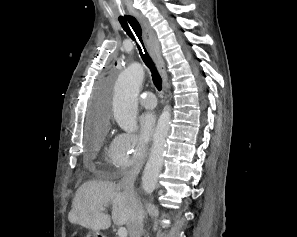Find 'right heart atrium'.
I'll list each match as a JSON object with an SVG mask.
<instances>
[{"label":"right heart atrium","mask_w":297,"mask_h":237,"mask_svg":"<svg viewBox=\"0 0 297 237\" xmlns=\"http://www.w3.org/2000/svg\"><path fill=\"white\" fill-rule=\"evenodd\" d=\"M146 153L147 144L133 133H119L111 144V161L118 170L140 165Z\"/></svg>","instance_id":"d8ad5b80"}]
</instances>
